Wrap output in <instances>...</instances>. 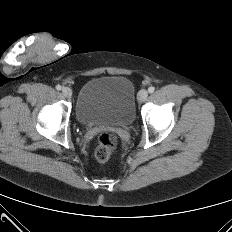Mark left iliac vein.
<instances>
[{
	"mask_svg": "<svg viewBox=\"0 0 232 232\" xmlns=\"http://www.w3.org/2000/svg\"><path fill=\"white\" fill-rule=\"evenodd\" d=\"M148 97V92L145 89L139 91L137 99L139 102H144Z\"/></svg>",
	"mask_w": 232,
	"mask_h": 232,
	"instance_id": "1",
	"label": "left iliac vein"
}]
</instances>
